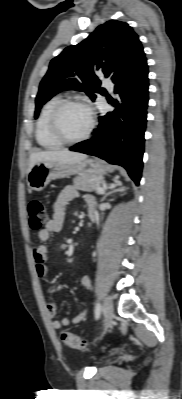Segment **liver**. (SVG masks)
<instances>
[{
    "label": "liver",
    "instance_id": "liver-1",
    "mask_svg": "<svg viewBox=\"0 0 182 399\" xmlns=\"http://www.w3.org/2000/svg\"><path fill=\"white\" fill-rule=\"evenodd\" d=\"M87 156L83 153L71 152L67 149L64 150H51L39 151L32 153L29 158V166L27 172L39 162L54 161L66 164H75L79 161L86 159Z\"/></svg>",
    "mask_w": 182,
    "mask_h": 399
}]
</instances>
